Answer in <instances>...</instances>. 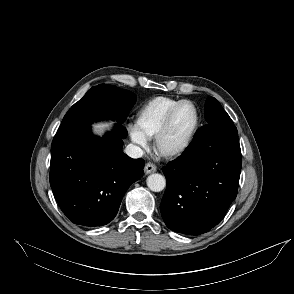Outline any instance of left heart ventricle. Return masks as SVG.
Wrapping results in <instances>:
<instances>
[{
	"mask_svg": "<svg viewBox=\"0 0 294 294\" xmlns=\"http://www.w3.org/2000/svg\"><path fill=\"white\" fill-rule=\"evenodd\" d=\"M196 121V112L191 104H184L176 113L172 125L162 142V148L170 150L182 145Z\"/></svg>",
	"mask_w": 294,
	"mask_h": 294,
	"instance_id": "left-heart-ventricle-1",
	"label": "left heart ventricle"
}]
</instances>
